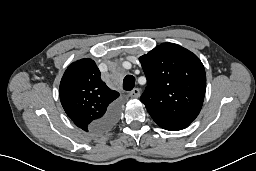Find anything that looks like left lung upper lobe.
<instances>
[{
  "mask_svg": "<svg viewBox=\"0 0 256 171\" xmlns=\"http://www.w3.org/2000/svg\"><path fill=\"white\" fill-rule=\"evenodd\" d=\"M147 78L140 100L163 129L188 127L198 116L206 90L199 58L173 43H163L139 58Z\"/></svg>",
  "mask_w": 256,
  "mask_h": 171,
  "instance_id": "5c2ea615",
  "label": "left lung upper lobe"
}]
</instances>
